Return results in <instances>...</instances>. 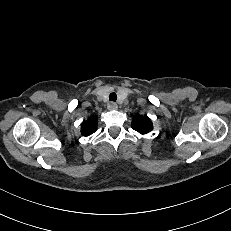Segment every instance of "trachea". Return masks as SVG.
<instances>
[{
	"mask_svg": "<svg viewBox=\"0 0 231 231\" xmlns=\"http://www.w3.org/2000/svg\"><path fill=\"white\" fill-rule=\"evenodd\" d=\"M109 100L115 102V101L117 100V95H116V93H114V92L111 93V94L109 95Z\"/></svg>",
	"mask_w": 231,
	"mask_h": 231,
	"instance_id": "1",
	"label": "trachea"
}]
</instances>
